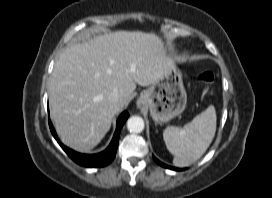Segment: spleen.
<instances>
[{"instance_id":"1","label":"spleen","mask_w":272,"mask_h":198,"mask_svg":"<svg viewBox=\"0 0 272 198\" xmlns=\"http://www.w3.org/2000/svg\"><path fill=\"white\" fill-rule=\"evenodd\" d=\"M216 120L215 107L210 105L183 128L170 126L164 130L163 139L174 155L175 166H189L206 152L215 136Z\"/></svg>"}]
</instances>
